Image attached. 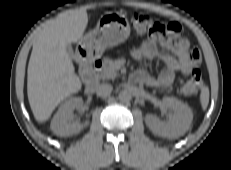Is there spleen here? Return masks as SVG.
<instances>
[{
  "label": "spleen",
  "mask_w": 231,
  "mask_h": 170,
  "mask_svg": "<svg viewBox=\"0 0 231 170\" xmlns=\"http://www.w3.org/2000/svg\"><path fill=\"white\" fill-rule=\"evenodd\" d=\"M200 103L202 109L205 110L209 103V89L208 87H203L200 94Z\"/></svg>",
  "instance_id": "1"
}]
</instances>
